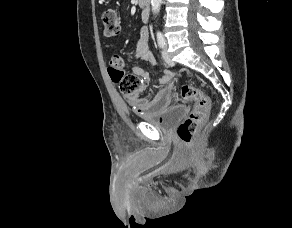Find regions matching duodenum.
<instances>
[{
    "label": "duodenum",
    "mask_w": 292,
    "mask_h": 228,
    "mask_svg": "<svg viewBox=\"0 0 292 228\" xmlns=\"http://www.w3.org/2000/svg\"><path fill=\"white\" fill-rule=\"evenodd\" d=\"M138 1L142 7H148L150 5V0H138Z\"/></svg>",
    "instance_id": "1"
}]
</instances>
